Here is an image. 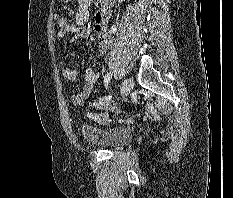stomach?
Here are the masks:
<instances>
[{
	"label": "stomach",
	"mask_w": 233,
	"mask_h": 198,
	"mask_svg": "<svg viewBox=\"0 0 233 198\" xmlns=\"http://www.w3.org/2000/svg\"><path fill=\"white\" fill-rule=\"evenodd\" d=\"M59 1H61V2H70L71 0H59Z\"/></svg>",
	"instance_id": "stomach-1"
}]
</instances>
